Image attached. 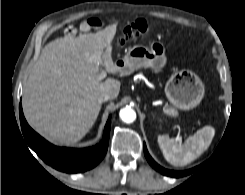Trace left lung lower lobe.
Wrapping results in <instances>:
<instances>
[{
	"label": "left lung lower lobe",
	"instance_id": "left-lung-lower-lobe-1",
	"mask_svg": "<svg viewBox=\"0 0 245 195\" xmlns=\"http://www.w3.org/2000/svg\"><path fill=\"white\" fill-rule=\"evenodd\" d=\"M144 153H145V157L147 159V161L149 162V164L158 172H160L161 174L163 175H166V176H170V177H175V178H178V177H183V176H186L190 173H192L195 168L193 169H190V170H186V171H173V170H167L161 166H159L152 158L151 156L149 155L148 151H147V148H146V145L144 144Z\"/></svg>",
	"mask_w": 245,
	"mask_h": 195
}]
</instances>
